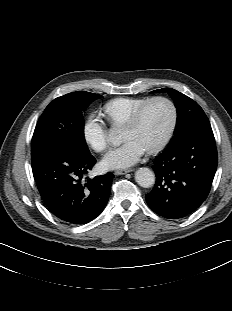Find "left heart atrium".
Wrapping results in <instances>:
<instances>
[{
	"mask_svg": "<svg viewBox=\"0 0 232 311\" xmlns=\"http://www.w3.org/2000/svg\"><path fill=\"white\" fill-rule=\"evenodd\" d=\"M147 148L137 140L126 141L122 146L110 151L102 160L107 169L127 168L136 164Z\"/></svg>",
	"mask_w": 232,
	"mask_h": 311,
	"instance_id": "1",
	"label": "left heart atrium"
}]
</instances>
